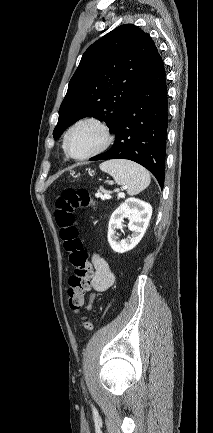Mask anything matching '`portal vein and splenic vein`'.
Here are the masks:
<instances>
[{"mask_svg":"<svg viewBox=\"0 0 213 433\" xmlns=\"http://www.w3.org/2000/svg\"><path fill=\"white\" fill-rule=\"evenodd\" d=\"M110 198H111V196L109 194H105L103 197V199H110Z\"/></svg>","mask_w":213,"mask_h":433,"instance_id":"obj_1","label":"portal vein and splenic vein"}]
</instances>
